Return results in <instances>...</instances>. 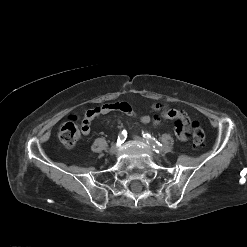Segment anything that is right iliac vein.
<instances>
[{
    "label": "right iliac vein",
    "instance_id": "obj_1",
    "mask_svg": "<svg viewBox=\"0 0 247 247\" xmlns=\"http://www.w3.org/2000/svg\"><path fill=\"white\" fill-rule=\"evenodd\" d=\"M117 149H118V145L117 144H114V145L111 146V148L109 150V153L111 155H114L117 152Z\"/></svg>",
    "mask_w": 247,
    "mask_h": 247
}]
</instances>
